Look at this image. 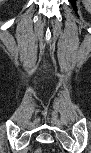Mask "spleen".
<instances>
[{"instance_id":"spleen-1","label":"spleen","mask_w":91,"mask_h":153,"mask_svg":"<svg viewBox=\"0 0 91 153\" xmlns=\"http://www.w3.org/2000/svg\"><path fill=\"white\" fill-rule=\"evenodd\" d=\"M83 4H84L85 8L89 10L90 4H91L90 1L89 0L83 1Z\"/></svg>"}]
</instances>
